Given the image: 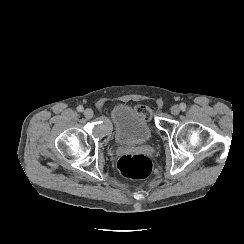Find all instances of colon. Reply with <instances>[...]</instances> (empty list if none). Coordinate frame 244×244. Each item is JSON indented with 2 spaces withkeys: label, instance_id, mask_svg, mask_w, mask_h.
Masks as SVG:
<instances>
[{
  "label": "colon",
  "instance_id": "colon-1",
  "mask_svg": "<svg viewBox=\"0 0 244 244\" xmlns=\"http://www.w3.org/2000/svg\"><path fill=\"white\" fill-rule=\"evenodd\" d=\"M149 119L150 112H143ZM120 172L128 178L143 179L151 175L153 163L149 157L143 154H126L119 159Z\"/></svg>",
  "mask_w": 244,
  "mask_h": 244
}]
</instances>
